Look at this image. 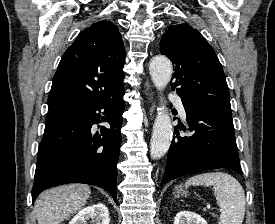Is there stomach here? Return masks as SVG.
I'll use <instances>...</instances> for the list:
<instances>
[{"mask_svg":"<svg viewBox=\"0 0 275 224\" xmlns=\"http://www.w3.org/2000/svg\"><path fill=\"white\" fill-rule=\"evenodd\" d=\"M187 193H188L187 188H184L182 185H177V186H175L174 192H173V194H174L176 197L183 196V195L186 196Z\"/></svg>","mask_w":275,"mask_h":224,"instance_id":"1","label":"stomach"}]
</instances>
